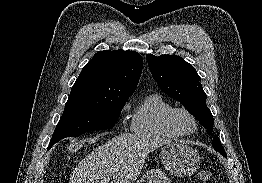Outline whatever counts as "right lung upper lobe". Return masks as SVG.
<instances>
[{
	"label": "right lung upper lobe",
	"instance_id": "cb5924a9",
	"mask_svg": "<svg viewBox=\"0 0 262 183\" xmlns=\"http://www.w3.org/2000/svg\"><path fill=\"white\" fill-rule=\"evenodd\" d=\"M142 64L141 55L134 51H99L83 67L70 95L129 98L137 87Z\"/></svg>",
	"mask_w": 262,
	"mask_h": 183
}]
</instances>
